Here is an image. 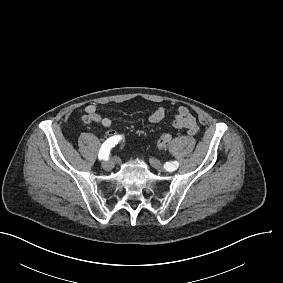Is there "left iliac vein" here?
Masks as SVG:
<instances>
[{
	"label": "left iliac vein",
	"mask_w": 283,
	"mask_h": 283,
	"mask_svg": "<svg viewBox=\"0 0 283 283\" xmlns=\"http://www.w3.org/2000/svg\"><path fill=\"white\" fill-rule=\"evenodd\" d=\"M149 161H150V163L152 164V166L155 168V169H157V170H161L162 169V165H161V163L156 159V158H153V157H151L150 159H149ZM168 169V171H173V167H169V168H167Z\"/></svg>",
	"instance_id": "left-iliac-vein-1"
}]
</instances>
